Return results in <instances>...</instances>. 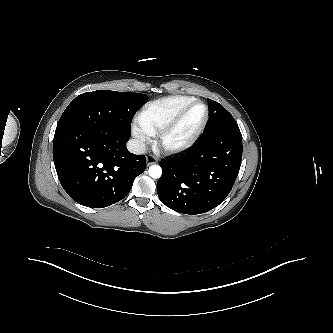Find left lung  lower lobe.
<instances>
[{"mask_svg":"<svg viewBox=\"0 0 333 333\" xmlns=\"http://www.w3.org/2000/svg\"><path fill=\"white\" fill-rule=\"evenodd\" d=\"M241 160L240 132H203L186 154L160 162L163 174L157 182L159 199L179 213L210 211L230 193Z\"/></svg>","mask_w":333,"mask_h":333,"instance_id":"1","label":"left lung lower lobe"}]
</instances>
